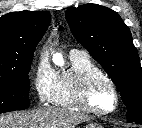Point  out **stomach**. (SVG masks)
I'll use <instances>...</instances> for the list:
<instances>
[{"instance_id":"obj_1","label":"stomach","mask_w":142,"mask_h":128,"mask_svg":"<svg viewBox=\"0 0 142 128\" xmlns=\"http://www.w3.org/2000/svg\"><path fill=\"white\" fill-rule=\"evenodd\" d=\"M85 128H103V127L97 123H89L85 126Z\"/></svg>"}]
</instances>
